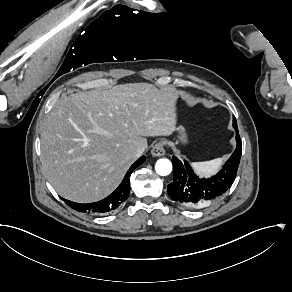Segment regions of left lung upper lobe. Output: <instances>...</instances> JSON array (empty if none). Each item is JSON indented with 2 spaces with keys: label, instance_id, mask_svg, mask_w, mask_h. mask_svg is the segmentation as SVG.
<instances>
[{
  "label": "left lung upper lobe",
  "instance_id": "5c2ea615",
  "mask_svg": "<svg viewBox=\"0 0 292 292\" xmlns=\"http://www.w3.org/2000/svg\"><path fill=\"white\" fill-rule=\"evenodd\" d=\"M233 127L235 128V130H238L235 117H233Z\"/></svg>",
  "mask_w": 292,
  "mask_h": 292
}]
</instances>
